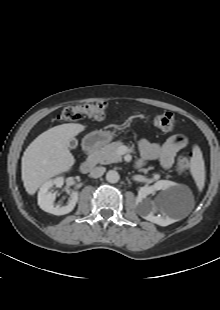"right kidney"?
<instances>
[{"instance_id":"1","label":"right kidney","mask_w":220,"mask_h":310,"mask_svg":"<svg viewBox=\"0 0 220 310\" xmlns=\"http://www.w3.org/2000/svg\"><path fill=\"white\" fill-rule=\"evenodd\" d=\"M64 184V178L62 176L57 177L55 179H51L46 181L41 187L38 192V205L42 210L45 212L54 214V215H64L70 213L77 201H78V192H72L68 203L66 206H54V201L56 199V194L52 193L50 189L55 185L57 188L62 187Z\"/></svg>"}]
</instances>
